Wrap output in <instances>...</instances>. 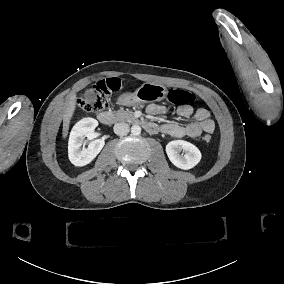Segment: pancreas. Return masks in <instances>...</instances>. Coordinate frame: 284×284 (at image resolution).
Here are the masks:
<instances>
[{
    "label": "pancreas",
    "instance_id": "pancreas-1",
    "mask_svg": "<svg viewBox=\"0 0 284 284\" xmlns=\"http://www.w3.org/2000/svg\"><path fill=\"white\" fill-rule=\"evenodd\" d=\"M113 114L117 121L132 122L135 120V117L132 111H125L123 109H120L118 111L113 112Z\"/></svg>",
    "mask_w": 284,
    "mask_h": 284
}]
</instances>
